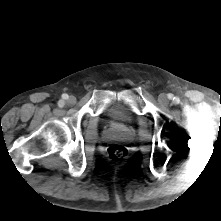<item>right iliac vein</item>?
<instances>
[{"label":"right iliac vein","instance_id":"obj_1","mask_svg":"<svg viewBox=\"0 0 221 221\" xmlns=\"http://www.w3.org/2000/svg\"><path fill=\"white\" fill-rule=\"evenodd\" d=\"M67 103L68 104H75L76 103V98L74 96H70L68 99H67Z\"/></svg>","mask_w":221,"mask_h":221}]
</instances>
